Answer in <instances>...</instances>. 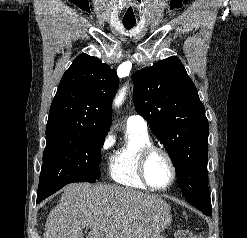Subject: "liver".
I'll list each match as a JSON object with an SVG mask.
<instances>
[{"label":"liver","instance_id":"liver-1","mask_svg":"<svg viewBox=\"0 0 247 238\" xmlns=\"http://www.w3.org/2000/svg\"><path fill=\"white\" fill-rule=\"evenodd\" d=\"M171 222L161 198L110 184L72 183L49 213L44 238H158Z\"/></svg>","mask_w":247,"mask_h":238}]
</instances>
